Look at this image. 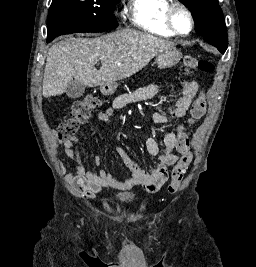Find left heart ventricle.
<instances>
[{
	"label": "left heart ventricle",
	"mask_w": 256,
	"mask_h": 267,
	"mask_svg": "<svg viewBox=\"0 0 256 267\" xmlns=\"http://www.w3.org/2000/svg\"><path fill=\"white\" fill-rule=\"evenodd\" d=\"M173 16H174V20H175V24L177 28L181 32H187L190 27V23H189V19L187 15L183 11L175 8L173 12Z\"/></svg>",
	"instance_id": "1"
}]
</instances>
